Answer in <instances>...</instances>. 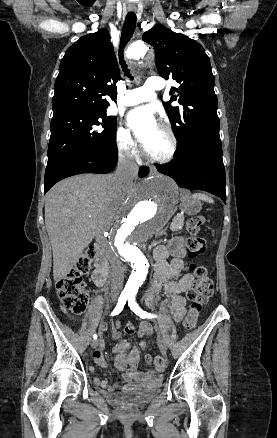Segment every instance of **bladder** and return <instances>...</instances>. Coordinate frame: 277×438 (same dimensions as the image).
<instances>
[{"label": "bladder", "instance_id": "31cf9c89", "mask_svg": "<svg viewBox=\"0 0 277 438\" xmlns=\"http://www.w3.org/2000/svg\"><path fill=\"white\" fill-rule=\"evenodd\" d=\"M162 380V377H160L158 381L146 385L143 389L129 391L126 393L114 392L112 394L113 402L115 405L127 409L145 406L158 392Z\"/></svg>", "mask_w": 277, "mask_h": 438}]
</instances>
